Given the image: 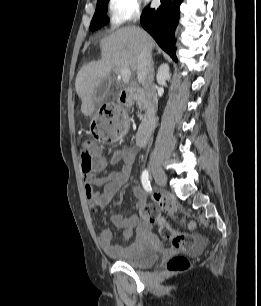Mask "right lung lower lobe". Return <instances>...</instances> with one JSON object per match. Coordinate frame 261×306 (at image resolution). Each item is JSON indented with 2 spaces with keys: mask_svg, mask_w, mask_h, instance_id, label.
I'll use <instances>...</instances> for the list:
<instances>
[{
  "mask_svg": "<svg viewBox=\"0 0 261 306\" xmlns=\"http://www.w3.org/2000/svg\"><path fill=\"white\" fill-rule=\"evenodd\" d=\"M157 9L146 7L141 15V25L159 46L176 60L174 31L179 21V7L183 0H160Z\"/></svg>",
  "mask_w": 261,
  "mask_h": 306,
  "instance_id": "1",
  "label": "right lung lower lobe"
}]
</instances>
